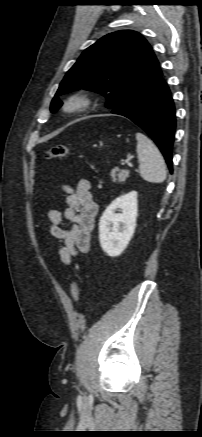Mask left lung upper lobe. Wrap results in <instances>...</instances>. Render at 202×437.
<instances>
[{
	"mask_svg": "<svg viewBox=\"0 0 202 437\" xmlns=\"http://www.w3.org/2000/svg\"><path fill=\"white\" fill-rule=\"evenodd\" d=\"M159 62L138 32L121 30L105 35L88 47L66 73L51 102V112L61 107L59 95L86 89L106 97V107L116 106L155 81Z\"/></svg>",
	"mask_w": 202,
	"mask_h": 437,
	"instance_id": "5c2ea615",
	"label": "left lung upper lobe"
}]
</instances>
